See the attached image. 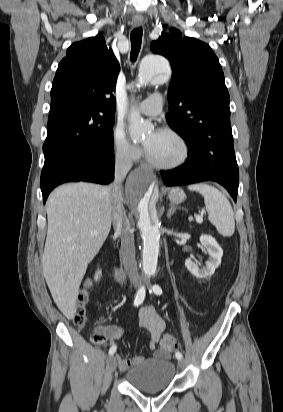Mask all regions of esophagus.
I'll return each instance as SVG.
<instances>
[{
    "label": "esophagus",
    "instance_id": "1",
    "mask_svg": "<svg viewBox=\"0 0 283 412\" xmlns=\"http://www.w3.org/2000/svg\"><path fill=\"white\" fill-rule=\"evenodd\" d=\"M133 24H134V26L139 27L142 24V20H134Z\"/></svg>",
    "mask_w": 283,
    "mask_h": 412
}]
</instances>
